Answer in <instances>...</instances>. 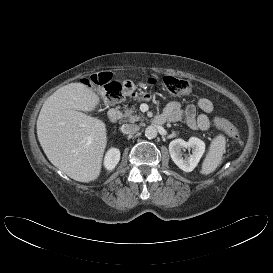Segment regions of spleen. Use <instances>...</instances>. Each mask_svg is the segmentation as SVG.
I'll return each mask as SVG.
<instances>
[{
	"instance_id": "3e777b00",
	"label": "spleen",
	"mask_w": 273,
	"mask_h": 273,
	"mask_svg": "<svg viewBox=\"0 0 273 273\" xmlns=\"http://www.w3.org/2000/svg\"><path fill=\"white\" fill-rule=\"evenodd\" d=\"M226 148V139L223 134L216 136L209 147V151L203 160L200 173L209 175L220 165Z\"/></svg>"
}]
</instances>
